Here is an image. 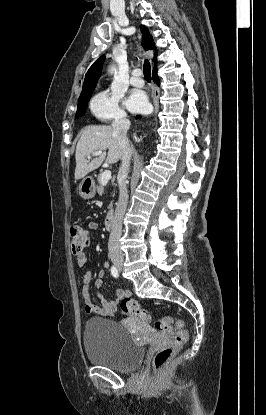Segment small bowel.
<instances>
[{
    "label": "small bowel",
    "mask_w": 266,
    "mask_h": 415,
    "mask_svg": "<svg viewBox=\"0 0 266 415\" xmlns=\"http://www.w3.org/2000/svg\"><path fill=\"white\" fill-rule=\"evenodd\" d=\"M89 229L97 230L98 224L95 222H91L88 225ZM77 265L79 267L85 266L87 263V256L85 253L77 254L76 258ZM109 267V264L105 262L103 264V268L98 272V278L95 281V285L97 288H100L103 283V278L105 277V269ZM92 281V273L90 271H86L82 277V299L84 302V309L85 312L88 314H95L99 316H112L116 310L120 300L124 298H129L131 293L127 290H117L116 292V299H106L102 294H99L101 299V306L93 305L91 302V290L90 284Z\"/></svg>",
    "instance_id": "1"
}]
</instances>
